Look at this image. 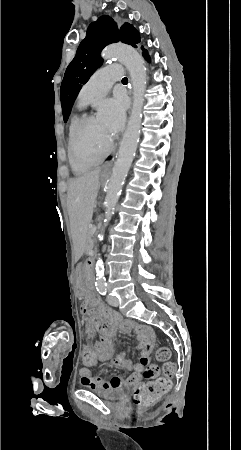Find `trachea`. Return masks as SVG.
<instances>
[{
  "instance_id": "trachea-1",
  "label": "trachea",
  "mask_w": 241,
  "mask_h": 450,
  "mask_svg": "<svg viewBox=\"0 0 241 450\" xmlns=\"http://www.w3.org/2000/svg\"><path fill=\"white\" fill-rule=\"evenodd\" d=\"M127 78L126 77H124L123 79H122V82H127Z\"/></svg>"
}]
</instances>
